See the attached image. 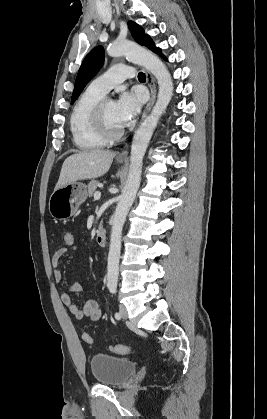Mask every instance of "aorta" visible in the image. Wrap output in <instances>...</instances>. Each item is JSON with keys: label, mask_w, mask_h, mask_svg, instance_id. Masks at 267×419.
I'll use <instances>...</instances> for the list:
<instances>
[{"label": "aorta", "mask_w": 267, "mask_h": 419, "mask_svg": "<svg viewBox=\"0 0 267 419\" xmlns=\"http://www.w3.org/2000/svg\"><path fill=\"white\" fill-rule=\"evenodd\" d=\"M107 52L113 57L125 56L126 59L143 66L155 76L159 86L157 101L151 113L134 134L128 178L114 213L108 254L107 287L115 288L118 281L123 225L140 186L143 157L158 120L172 98L174 87L171 75L164 63L152 52L133 42H114Z\"/></svg>", "instance_id": "762f6f07"}]
</instances>
